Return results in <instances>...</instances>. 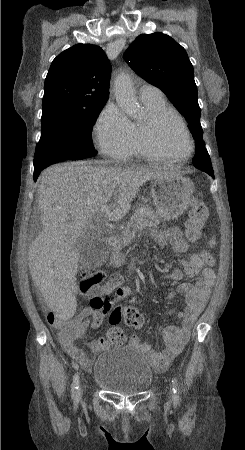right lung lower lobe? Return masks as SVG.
Returning a JSON list of instances; mask_svg holds the SVG:
<instances>
[{"mask_svg":"<svg viewBox=\"0 0 245 450\" xmlns=\"http://www.w3.org/2000/svg\"><path fill=\"white\" fill-rule=\"evenodd\" d=\"M88 157H79V158H74V160H80V159H85ZM42 169H38V170H34V181L37 180L39 173L41 172Z\"/></svg>","mask_w":245,"mask_h":450,"instance_id":"1","label":"right lung lower lobe"}]
</instances>
